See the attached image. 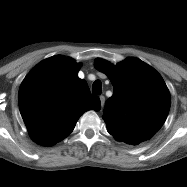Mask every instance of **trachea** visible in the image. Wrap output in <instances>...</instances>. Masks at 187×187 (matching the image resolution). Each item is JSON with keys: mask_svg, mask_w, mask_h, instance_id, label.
I'll return each instance as SVG.
<instances>
[{"mask_svg": "<svg viewBox=\"0 0 187 187\" xmlns=\"http://www.w3.org/2000/svg\"><path fill=\"white\" fill-rule=\"evenodd\" d=\"M102 92V83L100 80H96L92 85V94L100 95Z\"/></svg>", "mask_w": 187, "mask_h": 187, "instance_id": "3493384b", "label": "trachea"}]
</instances>
